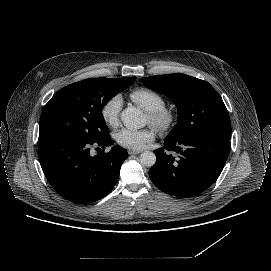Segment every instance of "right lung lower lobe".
Masks as SVG:
<instances>
[{"instance_id": "98d812e1", "label": "right lung lower lobe", "mask_w": 271, "mask_h": 271, "mask_svg": "<svg viewBox=\"0 0 271 271\" xmlns=\"http://www.w3.org/2000/svg\"><path fill=\"white\" fill-rule=\"evenodd\" d=\"M111 144L109 134L95 142L64 135L43 137L38 142L40 164L62 197L78 204L92 203L111 192L127 158L126 149L120 146L90 155L91 146Z\"/></svg>"}]
</instances>
